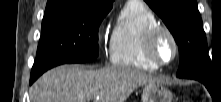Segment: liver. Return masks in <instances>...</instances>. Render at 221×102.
Segmentation results:
<instances>
[{"label":"liver","instance_id":"6515ba94","mask_svg":"<svg viewBox=\"0 0 221 102\" xmlns=\"http://www.w3.org/2000/svg\"><path fill=\"white\" fill-rule=\"evenodd\" d=\"M160 79L128 66L87 70L59 66L43 74L30 88L31 102H125L138 87Z\"/></svg>","mask_w":221,"mask_h":102}]
</instances>
